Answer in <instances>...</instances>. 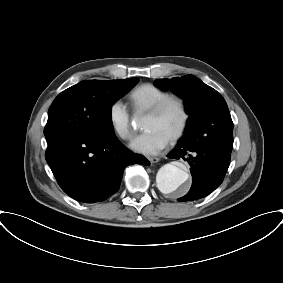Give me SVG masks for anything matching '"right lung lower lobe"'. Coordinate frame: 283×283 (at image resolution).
I'll list each match as a JSON object with an SVG mask.
<instances>
[{"mask_svg":"<svg viewBox=\"0 0 283 283\" xmlns=\"http://www.w3.org/2000/svg\"><path fill=\"white\" fill-rule=\"evenodd\" d=\"M45 158L63 191L85 203L102 202L115 194L128 165L150 164L114 133L64 135L48 142Z\"/></svg>","mask_w":283,"mask_h":283,"instance_id":"right-lung-lower-lobe-1","label":"right lung lower lobe"}]
</instances>
